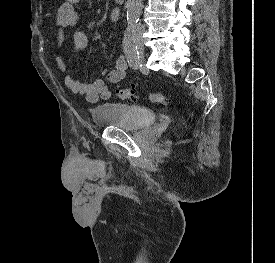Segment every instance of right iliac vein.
<instances>
[{
  "label": "right iliac vein",
  "mask_w": 275,
  "mask_h": 263,
  "mask_svg": "<svg viewBox=\"0 0 275 263\" xmlns=\"http://www.w3.org/2000/svg\"><path fill=\"white\" fill-rule=\"evenodd\" d=\"M135 44L139 47L140 51L143 52V44L140 39L135 40Z\"/></svg>",
  "instance_id": "obj_1"
}]
</instances>
